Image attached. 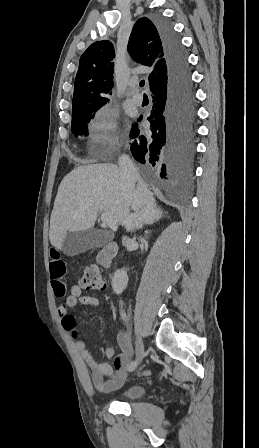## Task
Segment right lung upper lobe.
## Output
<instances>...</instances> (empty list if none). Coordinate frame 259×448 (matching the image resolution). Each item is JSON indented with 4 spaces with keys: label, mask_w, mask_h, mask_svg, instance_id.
I'll list each match as a JSON object with an SVG mask.
<instances>
[{
    "label": "right lung upper lobe",
    "mask_w": 259,
    "mask_h": 448,
    "mask_svg": "<svg viewBox=\"0 0 259 448\" xmlns=\"http://www.w3.org/2000/svg\"><path fill=\"white\" fill-rule=\"evenodd\" d=\"M128 52L139 63L154 69L148 80L151 92L168 83V68L162 39L156 24L138 19L130 35ZM115 52L107 40L96 41L82 54L76 75L72 112L104 105L113 88Z\"/></svg>",
    "instance_id": "1"
}]
</instances>
